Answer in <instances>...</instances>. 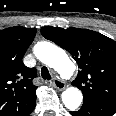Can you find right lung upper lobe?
Here are the masks:
<instances>
[{
	"label": "right lung upper lobe",
	"instance_id": "obj_1",
	"mask_svg": "<svg viewBox=\"0 0 116 116\" xmlns=\"http://www.w3.org/2000/svg\"><path fill=\"white\" fill-rule=\"evenodd\" d=\"M35 35V28L0 30V116H28L36 105L37 72L22 61Z\"/></svg>",
	"mask_w": 116,
	"mask_h": 116
}]
</instances>
